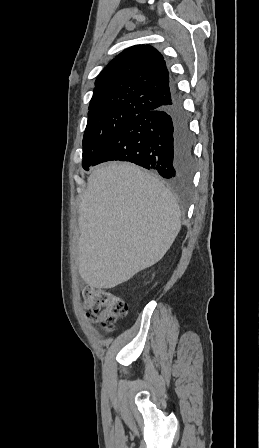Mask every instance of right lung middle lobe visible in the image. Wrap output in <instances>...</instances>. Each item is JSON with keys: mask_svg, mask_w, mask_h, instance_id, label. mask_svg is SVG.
I'll return each mask as SVG.
<instances>
[{"mask_svg": "<svg viewBox=\"0 0 259 448\" xmlns=\"http://www.w3.org/2000/svg\"><path fill=\"white\" fill-rule=\"evenodd\" d=\"M139 114L141 113H88V122L83 137L82 167L89 170V167L115 136Z\"/></svg>", "mask_w": 259, "mask_h": 448, "instance_id": "1", "label": "right lung middle lobe"}]
</instances>
